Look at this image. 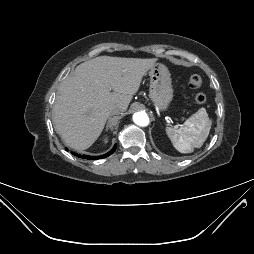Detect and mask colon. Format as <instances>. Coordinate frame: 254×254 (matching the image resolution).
<instances>
[{
	"instance_id": "1",
	"label": "colon",
	"mask_w": 254,
	"mask_h": 254,
	"mask_svg": "<svg viewBox=\"0 0 254 254\" xmlns=\"http://www.w3.org/2000/svg\"><path fill=\"white\" fill-rule=\"evenodd\" d=\"M201 85H202V78L199 75L193 74L190 76V78L188 80V86L191 89H198L201 87ZM194 102L197 105L201 106V105L205 104L206 96L201 92L196 93L194 96Z\"/></svg>"
}]
</instances>
